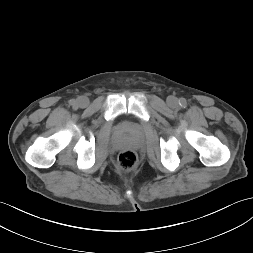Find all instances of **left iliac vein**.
Here are the masks:
<instances>
[{
  "label": "left iliac vein",
  "instance_id": "left-iliac-vein-1",
  "mask_svg": "<svg viewBox=\"0 0 253 253\" xmlns=\"http://www.w3.org/2000/svg\"><path fill=\"white\" fill-rule=\"evenodd\" d=\"M177 99L175 98V97H173V96H169L168 98H167V104L169 105V106H171V107H175L176 105H177Z\"/></svg>",
  "mask_w": 253,
  "mask_h": 253
}]
</instances>
